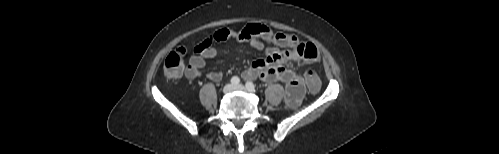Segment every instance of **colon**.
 <instances>
[{"label": "colon", "instance_id": "1", "mask_svg": "<svg viewBox=\"0 0 499 154\" xmlns=\"http://www.w3.org/2000/svg\"><path fill=\"white\" fill-rule=\"evenodd\" d=\"M186 54L187 49L185 47H178L166 57L164 62V75L167 79H176L182 75ZM303 80L305 86L311 93H316L320 90L321 82L315 71H306Z\"/></svg>", "mask_w": 499, "mask_h": 154}]
</instances>
